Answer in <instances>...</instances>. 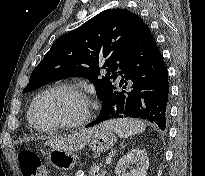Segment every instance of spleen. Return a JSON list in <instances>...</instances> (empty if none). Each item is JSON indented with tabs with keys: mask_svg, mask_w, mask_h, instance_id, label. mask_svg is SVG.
Wrapping results in <instances>:
<instances>
[{
	"mask_svg": "<svg viewBox=\"0 0 205 176\" xmlns=\"http://www.w3.org/2000/svg\"><path fill=\"white\" fill-rule=\"evenodd\" d=\"M103 127L114 131L121 138H128L145 131L146 125L137 119H113L102 124Z\"/></svg>",
	"mask_w": 205,
	"mask_h": 176,
	"instance_id": "1",
	"label": "spleen"
}]
</instances>
